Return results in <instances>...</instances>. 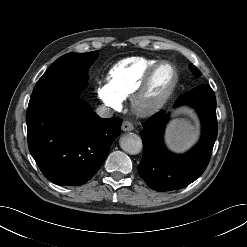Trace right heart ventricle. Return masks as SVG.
Here are the masks:
<instances>
[{
    "label": "right heart ventricle",
    "mask_w": 247,
    "mask_h": 247,
    "mask_svg": "<svg viewBox=\"0 0 247 247\" xmlns=\"http://www.w3.org/2000/svg\"><path fill=\"white\" fill-rule=\"evenodd\" d=\"M157 62L156 59L142 56L125 58L112 68L109 82L122 99L128 98L146 71Z\"/></svg>",
    "instance_id": "obj_1"
}]
</instances>
